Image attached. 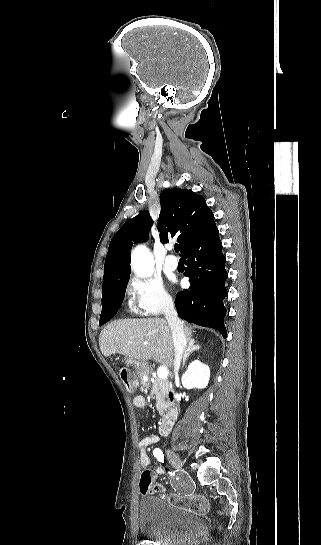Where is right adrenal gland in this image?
I'll list each match as a JSON object with an SVG mask.
<instances>
[{
  "mask_svg": "<svg viewBox=\"0 0 321 545\" xmlns=\"http://www.w3.org/2000/svg\"><path fill=\"white\" fill-rule=\"evenodd\" d=\"M196 341H194V339H190L189 343H188V347L185 351V355L183 357V361H182V367H185V363L188 359V357H190V355H192V353H194V351H199V349H201L200 345H195Z\"/></svg>",
  "mask_w": 321,
  "mask_h": 545,
  "instance_id": "obj_1",
  "label": "right adrenal gland"
}]
</instances>
